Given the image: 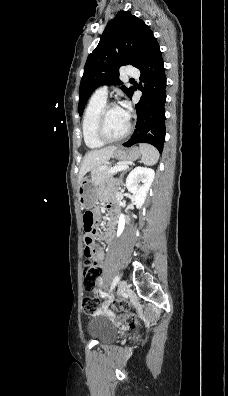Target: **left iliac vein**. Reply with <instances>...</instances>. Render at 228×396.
Segmentation results:
<instances>
[{
	"mask_svg": "<svg viewBox=\"0 0 228 396\" xmlns=\"http://www.w3.org/2000/svg\"><path fill=\"white\" fill-rule=\"evenodd\" d=\"M127 287H128L127 281L126 280H122L119 283V286H118V289H117V295L120 296L121 294H123L127 290Z\"/></svg>",
	"mask_w": 228,
	"mask_h": 396,
	"instance_id": "1",
	"label": "left iliac vein"
}]
</instances>
